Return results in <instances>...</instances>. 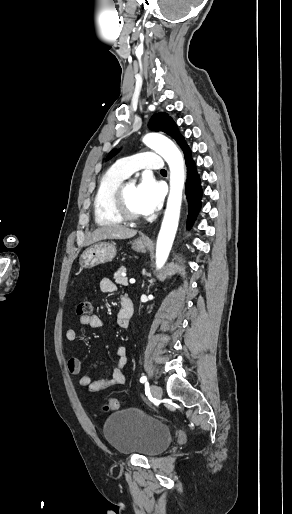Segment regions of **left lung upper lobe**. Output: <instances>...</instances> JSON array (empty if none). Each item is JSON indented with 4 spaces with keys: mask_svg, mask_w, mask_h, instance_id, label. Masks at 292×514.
<instances>
[{
    "mask_svg": "<svg viewBox=\"0 0 292 514\" xmlns=\"http://www.w3.org/2000/svg\"><path fill=\"white\" fill-rule=\"evenodd\" d=\"M149 128L152 131H161L172 137L176 140V142L180 145L181 149L183 150L186 146V142L184 141V137L180 134L177 125L172 120L170 116H168L165 112H160L157 114H154L149 122ZM118 153L117 149H113L107 156L106 160H109L114 155Z\"/></svg>",
    "mask_w": 292,
    "mask_h": 514,
    "instance_id": "obj_1",
    "label": "left lung upper lobe"
}]
</instances>
